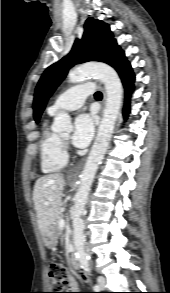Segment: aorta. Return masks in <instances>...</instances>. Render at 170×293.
<instances>
[{
  "mask_svg": "<svg viewBox=\"0 0 170 293\" xmlns=\"http://www.w3.org/2000/svg\"><path fill=\"white\" fill-rule=\"evenodd\" d=\"M87 77H96L103 82L106 90V104L97 137L80 174L79 187L75 196L72 214L73 240L76 255L80 266L83 268L89 266V257L85 249L82 215L85 212V205L95 174L108 148L114 124L120 112L123 94L122 84L117 72L105 63H87L70 71L68 74V79L72 83L82 82ZM52 129L55 132L70 133L73 130L70 116L65 112L59 113L54 119Z\"/></svg>",
  "mask_w": 170,
  "mask_h": 293,
  "instance_id": "obj_1",
  "label": "aorta"
}]
</instances>
